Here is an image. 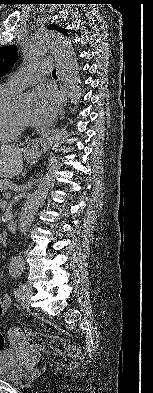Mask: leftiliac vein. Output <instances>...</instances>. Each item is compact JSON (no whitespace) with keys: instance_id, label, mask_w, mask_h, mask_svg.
Listing matches in <instances>:
<instances>
[{"instance_id":"1","label":"left iliac vein","mask_w":153,"mask_h":393,"mask_svg":"<svg viewBox=\"0 0 153 393\" xmlns=\"http://www.w3.org/2000/svg\"><path fill=\"white\" fill-rule=\"evenodd\" d=\"M32 295V287L31 286H26V288L24 289V291L22 292V302H23V306L26 308L30 307V297Z\"/></svg>"}]
</instances>
